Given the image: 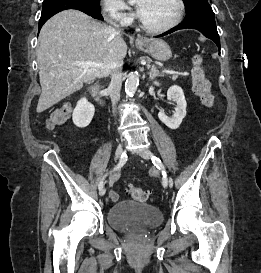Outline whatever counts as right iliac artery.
I'll list each match as a JSON object with an SVG mask.
<instances>
[{"label":"right iliac artery","instance_id":"right-iliac-artery-1","mask_svg":"<svg viewBox=\"0 0 261 273\" xmlns=\"http://www.w3.org/2000/svg\"><path fill=\"white\" fill-rule=\"evenodd\" d=\"M126 161H127V155H126L125 153H123V154L121 155V158H120L119 163L115 166V168H114L113 170H114V171L120 170L121 167L126 163ZM106 176H107V174H105V175L103 176V178L100 180V182H99V184H98L99 190L103 188V186H104V179H105Z\"/></svg>","mask_w":261,"mask_h":273}]
</instances>
